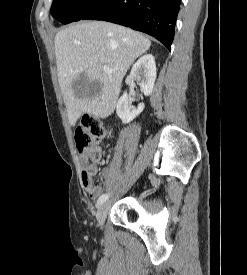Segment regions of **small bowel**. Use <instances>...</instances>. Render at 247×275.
<instances>
[{
  "label": "small bowel",
  "instance_id": "c3829d8e",
  "mask_svg": "<svg viewBox=\"0 0 247 275\" xmlns=\"http://www.w3.org/2000/svg\"><path fill=\"white\" fill-rule=\"evenodd\" d=\"M97 150L101 158V150ZM98 161L99 160L90 162L86 154H81L80 156L82 186L86 191L88 197L91 199H97L102 193V187L99 185H94L93 182V178L98 172ZM102 175L106 181L111 182L114 175V166L110 165L104 168Z\"/></svg>",
  "mask_w": 247,
  "mask_h": 275
}]
</instances>
